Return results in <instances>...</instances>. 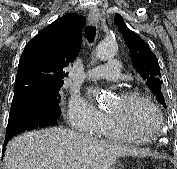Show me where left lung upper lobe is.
I'll return each instance as SVG.
<instances>
[{"label":"left lung upper lobe","mask_w":177,"mask_h":169,"mask_svg":"<svg viewBox=\"0 0 177 169\" xmlns=\"http://www.w3.org/2000/svg\"><path fill=\"white\" fill-rule=\"evenodd\" d=\"M115 19L119 23L121 33L129 48L135 69L141 75L146 85L153 91L158 102L166 107L165 99L161 91L163 81L160 80V67L154 53L142 38L127 28L119 14H116Z\"/></svg>","instance_id":"1"}]
</instances>
